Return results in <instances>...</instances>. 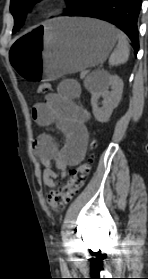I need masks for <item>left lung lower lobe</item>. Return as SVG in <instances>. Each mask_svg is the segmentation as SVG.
<instances>
[{"label":"left lung lower lobe","instance_id":"obj_1","mask_svg":"<svg viewBox=\"0 0 148 279\" xmlns=\"http://www.w3.org/2000/svg\"><path fill=\"white\" fill-rule=\"evenodd\" d=\"M142 0H77L63 15L105 20L124 31L139 50L137 21Z\"/></svg>","mask_w":148,"mask_h":279}]
</instances>
